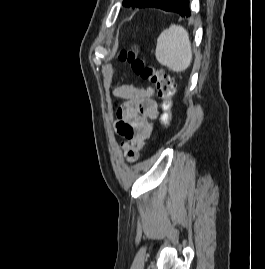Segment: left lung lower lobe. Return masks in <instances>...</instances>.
<instances>
[{"label":"left lung lower lobe","mask_w":265,"mask_h":269,"mask_svg":"<svg viewBox=\"0 0 265 269\" xmlns=\"http://www.w3.org/2000/svg\"><path fill=\"white\" fill-rule=\"evenodd\" d=\"M159 8L165 11L176 12L183 17H189L191 11L189 0H145L138 8Z\"/></svg>","instance_id":"1"}]
</instances>
